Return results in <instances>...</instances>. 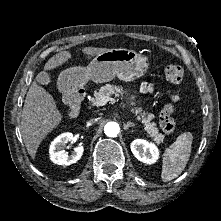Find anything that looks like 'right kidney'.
Wrapping results in <instances>:
<instances>
[{
    "instance_id": "ca27d5eb",
    "label": "right kidney",
    "mask_w": 221,
    "mask_h": 221,
    "mask_svg": "<svg viewBox=\"0 0 221 221\" xmlns=\"http://www.w3.org/2000/svg\"><path fill=\"white\" fill-rule=\"evenodd\" d=\"M72 140L73 134L67 132L59 135L52 141L49 153L53 163L67 166L76 163L81 158L84 151V147L81 144L78 145L70 155L63 149L65 144Z\"/></svg>"
}]
</instances>
